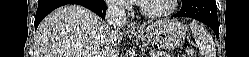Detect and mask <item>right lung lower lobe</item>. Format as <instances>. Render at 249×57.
<instances>
[{
    "mask_svg": "<svg viewBox=\"0 0 249 57\" xmlns=\"http://www.w3.org/2000/svg\"><path fill=\"white\" fill-rule=\"evenodd\" d=\"M65 4L82 5L98 14L101 18H105L106 4L104 0H39L34 22L35 28L38 27L47 14Z\"/></svg>",
    "mask_w": 249,
    "mask_h": 57,
    "instance_id": "98d812e1",
    "label": "right lung lower lobe"
}]
</instances>
